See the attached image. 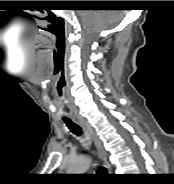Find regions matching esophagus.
<instances>
[{
  "label": "esophagus",
  "mask_w": 174,
  "mask_h": 184,
  "mask_svg": "<svg viewBox=\"0 0 174 184\" xmlns=\"http://www.w3.org/2000/svg\"><path fill=\"white\" fill-rule=\"evenodd\" d=\"M79 122L84 126V128L86 129L87 133L89 134L92 142L95 145V148L97 150L99 159L101 161V163L108 169H110V164L108 162V156L107 153L103 147L102 141L100 140V138L96 135V133L94 132V130L90 127V125L81 117H78Z\"/></svg>",
  "instance_id": "1"
}]
</instances>
